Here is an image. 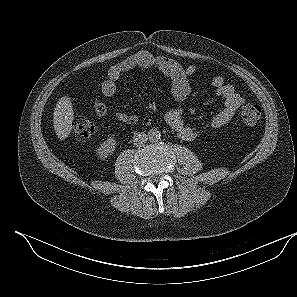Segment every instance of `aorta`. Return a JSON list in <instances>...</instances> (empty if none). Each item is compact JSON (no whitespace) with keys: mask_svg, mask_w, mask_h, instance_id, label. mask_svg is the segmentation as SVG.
I'll return each mask as SVG.
<instances>
[{"mask_svg":"<svg viewBox=\"0 0 297 297\" xmlns=\"http://www.w3.org/2000/svg\"><path fill=\"white\" fill-rule=\"evenodd\" d=\"M161 137V133L158 129L152 128L148 131V138L150 141L155 142L158 141Z\"/></svg>","mask_w":297,"mask_h":297,"instance_id":"1","label":"aorta"}]
</instances>
